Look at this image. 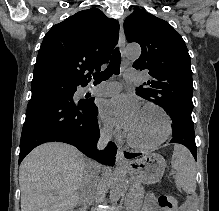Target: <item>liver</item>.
<instances>
[{"mask_svg":"<svg viewBox=\"0 0 219 211\" xmlns=\"http://www.w3.org/2000/svg\"><path fill=\"white\" fill-rule=\"evenodd\" d=\"M101 171L73 145L42 143L20 165L21 211H73L80 191L90 189L94 197Z\"/></svg>","mask_w":219,"mask_h":211,"instance_id":"obj_1","label":"liver"}]
</instances>
